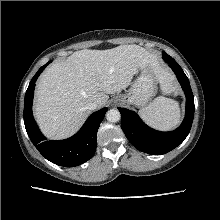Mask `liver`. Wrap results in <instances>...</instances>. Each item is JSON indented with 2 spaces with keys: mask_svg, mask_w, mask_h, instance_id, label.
Here are the masks:
<instances>
[{
  "mask_svg": "<svg viewBox=\"0 0 220 220\" xmlns=\"http://www.w3.org/2000/svg\"><path fill=\"white\" fill-rule=\"evenodd\" d=\"M152 63L144 48L132 44L84 49L52 64L41 75L35 92L34 114L42 132L51 139L73 135L89 116V104L104 107L108 94L128 87L138 69Z\"/></svg>",
  "mask_w": 220,
  "mask_h": 220,
  "instance_id": "liver-1",
  "label": "liver"
}]
</instances>
